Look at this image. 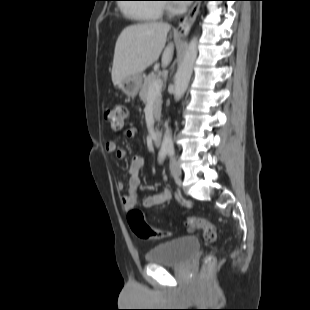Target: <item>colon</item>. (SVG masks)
I'll return each instance as SVG.
<instances>
[{
    "label": "colon",
    "mask_w": 310,
    "mask_h": 310,
    "mask_svg": "<svg viewBox=\"0 0 310 310\" xmlns=\"http://www.w3.org/2000/svg\"><path fill=\"white\" fill-rule=\"evenodd\" d=\"M125 116L126 107L122 104L107 107L104 111V118L106 122L109 123L115 130H120L122 128ZM127 220L131 230L141 239H163L171 235L169 231L150 228L146 224L142 212L136 208L129 210ZM185 222L189 227L202 230L206 241L212 242L216 240V228L205 218L189 217ZM214 264V256L208 255L204 260V272L209 273L213 269Z\"/></svg>",
    "instance_id": "obj_1"
}]
</instances>
